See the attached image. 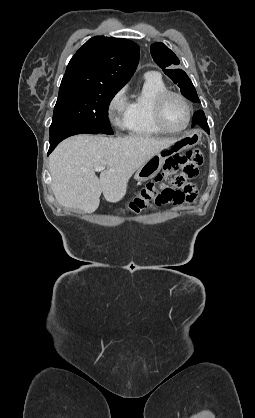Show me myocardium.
Here are the masks:
<instances>
[{"mask_svg": "<svg viewBox=\"0 0 255 418\" xmlns=\"http://www.w3.org/2000/svg\"><path fill=\"white\" fill-rule=\"evenodd\" d=\"M170 97H176V98L180 99L184 103V105L187 109L186 123L184 124L183 127L179 128V129L169 128L164 121V106H165L166 101ZM192 114H193V110H192V106H191L190 102L188 101V99L184 95H182L179 92L166 90V91H163V92L159 93L156 96V98L154 99V102H153V118H154L155 124L163 132L171 133V134L183 132L184 130H186L189 127V125L191 123V120H192Z\"/></svg>", "mask_w": 255, "mask_h": 418, "instance_id": "f54148a6", "label": "myocardium"}]
</instances>
